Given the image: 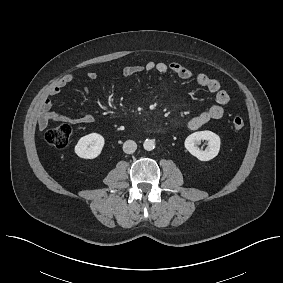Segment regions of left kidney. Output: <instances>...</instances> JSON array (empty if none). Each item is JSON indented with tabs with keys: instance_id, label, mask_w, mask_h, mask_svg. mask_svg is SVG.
I'll use <instances>...</instances> for the list:
<instances>
[{
	"instance_id": "obj_1",
	"label": "left kidney",
	"mask_w": 283,
	"mask_h": 283,
	"mask_svg": "<svg viewBox=\"0 0 283 283\" xmlns=\"http://www.w3.org/2000/svg\"><path fill=\"white\" fill-rule=\"evenodd\" d=\"M201 140L208 141V147L205 151L200 150L197 144ZM220 137L211 131H198L190 134L185 140V148L200 161H209L215 158L220 150Z\"/></svg>"
}]
</instances>
